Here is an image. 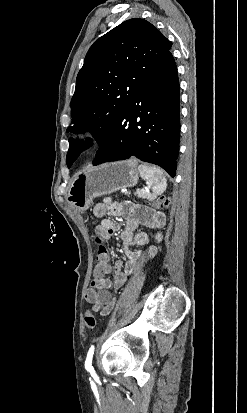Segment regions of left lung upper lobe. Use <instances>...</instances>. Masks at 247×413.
I'll list each match as a JSON object with an SVG mask.
<instances>
[{
    "mask_svg": "<svg viewBox=\"0 0 247 413\" xmlns=\"http://www.w3.org/2000/svg\"><path fill=\"white\" fill-rule=\"evenodd\" d=\"M172 42L144 19L127 20L89 49L71 100L73 126L67 132H90L103 143L135 91L170 50ZM66 163L81 153V143L69 140ZM88 146L92 145L89 141Z\"/></svg>",
    "mask_w": 247,
    "mask_h": 413,
    "instance_id": "left-lung-upper-lobe-1",
    "label": "left lung upper lobe"
}]
</instances>
